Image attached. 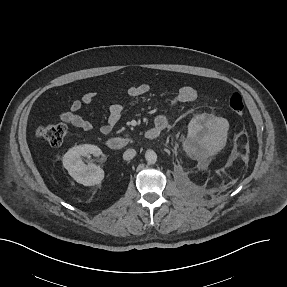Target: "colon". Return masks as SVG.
<instances>
[{
	"label": "colon",
	"mask_w": 287,
	"mask_h": 287,
	"mask_svg": "<svg viewBox=\"0 0 287 287\" xmlns=\"http://www.w3.org/2000/svg\"><path fill=\"white\" fill-rule=\"evenodd\" d=\"M229 108L236 115L244 111V102L239 93H234L229 99ZM37 138L48 142L51 146H61L69 136V129L64 124L41 125L35 129Z\"/></svg>",
	"instance_id": "5ec220e1"
}]
</instances>
